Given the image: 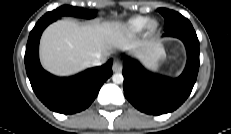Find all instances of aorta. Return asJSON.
Returning <instances> with one entry per match:
<instances>
[{
  "label": "aorta",
  "instance_id": "obj_1",
  "mask_svg": "<svg viewBox=\"0 0 231 134\" xmlns=\"http://www.w3.org/2000/svg\"><path fill=\"white\" fill-rule=\"evenodd\" d=\"M112 80L115 84H121V83H123L124 78H123V75L121 73H115L112 76Z\"/></svg>",
  "mask_w": 231,
  "mask_h": 134
}]
</instances>
